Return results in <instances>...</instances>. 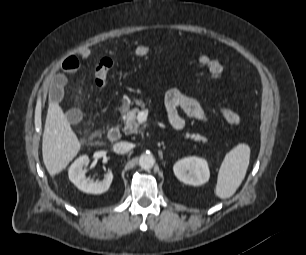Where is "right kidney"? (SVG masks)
Here are the masks:
<instances>
[{
    "label": "right kidney",
    "mask_w": 306,
    "mask_h": 255,
    "mask_svg": "<svg viewBox=\"0 0 306 255\" xmlns=\"http://www.w3.org/2000/svg\"><path fill=\"white\" fill-rule=\"evenodd\" d=\"M89 158L83 155L76 159L70 166L68 175L70 181L81 191L92 194H102L106 192L113 180V174L109 171L100 182H88L86 178L87 165Z\"/></svg>",
    "instance_id": "right-kidney-1"
}]
</instances>
